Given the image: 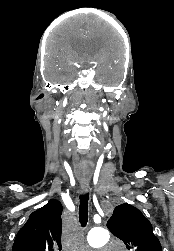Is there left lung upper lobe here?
<instances>
[{
  "label": "left lung upper lobe",
  "mask_w": 174,
  "mask_h": 251,
  "mask_svg": "<svg viewBox=\"0 0 174 251\" xmlns=\"http://www.w3.org/2000/svg\"><path fill=\"white\" fill-rule=\"evenodd\" d=\"M108 229L131 251H162L151 223L134 206L118 205L107 222Z\"/></svg>",
  "instance_id": "left-lung-upper-lobe-1"
}]
</instances>
